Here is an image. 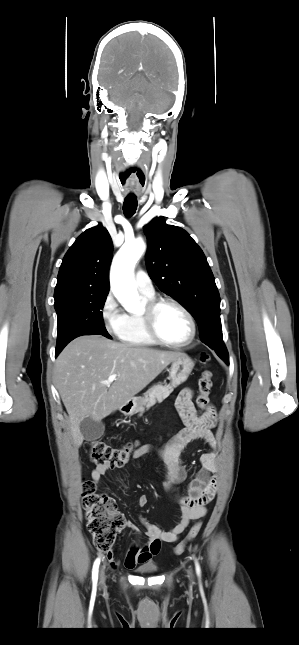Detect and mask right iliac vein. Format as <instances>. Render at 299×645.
<instances>
[{"label":"right iliac vein","mask_w":299,"mask_h":645,"mask_svg":"<svg viewBox=\"0 0 299 645\" xmlns=\"http://www.w3.org/2000/svg\"><path fill=\"white\" fill-rule=\"evenodd\" d=\"M104 582H105L104 568H101V571H100V583L103 584Z\"/></svg>","instance_id":"63e3f726"}]
</instances>
